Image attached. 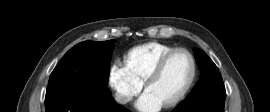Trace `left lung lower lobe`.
Returning a JSON list of instances; mask_svg holds the SVG:
<instances>
[{
	"label": "left lung lower lobe",
	"instance_id": "left-lung-lower-lobe-1",
	"mask_svg": "<svg viewBox=\"0 0 270 112\" xmlns=\"http://www.w3.org/2000/svg\"><path fill=\"white\" fill-rule=\"evenodd\" d=\"M224 85H215L196 99L185 100L172 112H224Z\"/></svg>",
	"mask_w": 270,
	"mask_h": 112
}]
</instances>
